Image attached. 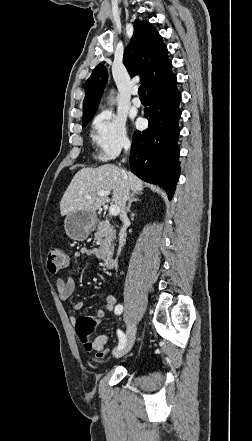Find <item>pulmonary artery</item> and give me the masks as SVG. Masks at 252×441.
<instances>
[{
	"instance_id": "pulmonary-artery-1",
	"label": "pulmonary artery",
	"mask_w": 252,
	"mask_h": 441,
	"mask_svg": "<svg viewBox=\"0 0 252 441\" xmlns=\"http://www.w3.org/2000/svg\"><path fill=\"white\" fill-rule=\"evenodd\" d=\"M132 94H133L132 104L135 107H140L141 106V100L137 97V89H133Z\"/></svg>"
}]
</instances>
